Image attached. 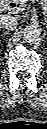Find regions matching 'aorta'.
I'll use <instances>...</instances> for the list:
<instances>
[{
  "label": "aorta",
  "mask_w": 47,
  "mask_h": 129,
  "mask_svg": "<svg viewBox=\"0 0 47 129\" xmlns=\"http://www.w3.org/2000/svg\"><path fill=\"white\" fill-rule=\"evenodd\" d=\"M22 37L29 44L37 43L41 40V30L36 25H26L22 29Z\"/></svg>",
  "instance_id": "obj_1"
}]
</instances>
